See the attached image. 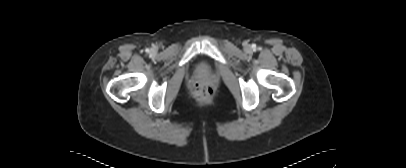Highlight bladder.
Segmentation results:
<instances>
[{
  "label": "bladder",
  "instance_id": "obj_1",
  "mask_svg": "<svg viewBox=\"0 0 406 168\" xmlns=\"http://www.w3.org/2000/svg\"><path fill=\"white\" fill-rule=\"evenodd\" d=\"M207 70H208V67H207L206 65H204V64H201V65H199V67H198V71H199L200 73H205V72H207Z\"/></svg>",
  "mask_w": 406,
  "mask_h": 168
}]
</instances>
